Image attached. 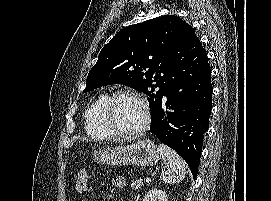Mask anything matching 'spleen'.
<instances>
[{"label": "spleen", "mask_w": 271, "mask_h": 201, "mask_svg": "<svg viewBox=\"0 0 271 201\" xmlns=\"http://www.w3.org/2000/svg\"><path fill=\"white\" fill-rule=\"evenodd\" d=\"M158 149L166 169L162 171L161 179L165 183L175 184L181 182L186 175L184 160L171 148L159 144Z\"/></svg>", "instance_id": "spleen-1"}]
</instances>
